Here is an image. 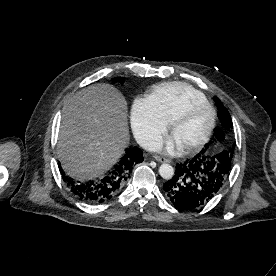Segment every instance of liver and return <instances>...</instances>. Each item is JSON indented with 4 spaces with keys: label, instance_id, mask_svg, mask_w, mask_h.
I'll return each instance as SVG.
<instances>
[{
    "label": "liver",
    "instance_id": "obj_1",
    "mask_svg": "<svg viewBox=\"0 0 276 276\" xmlns=\"http://www.w3.org/2000/svg\"><path fill=\"white\" fill-rule=\"evenodd\" d=\"M128 142L127 103L111 85L86 87L64 107L57 153L73 178L101 175L116 163Z\"/></svg>",
    "mask_w": 276,
    "mask_h": 276
}]
</instances>
